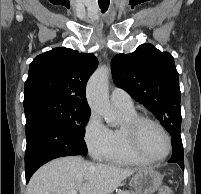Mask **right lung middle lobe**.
<instances>
[{
	"label": "right lung middle lobe",
	"instance_id": "1",
	"mask_svg": "<svg viewBox=\"0 0 201 194\" xmlns=\"http://www.w3.org/2000/svg\"><path fill=\"white\" fill-rule=\"evenodd\" d=\"M24 108L26 118L33 114L44 115L72 129L81 138L85 135V126L90 112L73 103L58 98L44 97L25 103Z\"/></svg>",
	"mask_w": 201,
	"mask_h": 194
}]
</instances>
